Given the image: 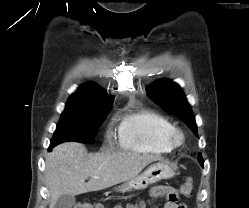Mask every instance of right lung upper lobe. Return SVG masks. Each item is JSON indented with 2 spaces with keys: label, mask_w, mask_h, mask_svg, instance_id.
Masks as SVG:
<instances>
[{
  "label": "right lung upper lobe",
  "mask_w": 249,
  "mask_h": 208,
  "mask_svg": "<svg viewBox=\"0 0 249 208\" xmlns=\"http://www.w3.org/2000/svg\"><path fill=\"white\" fill-rule=\"evenodd\" d=\"M114 98L109 96L95 83H86L72 94L66 103V107H87L108 110L113 104Z\"/></svg>",
  "instance_id": "right-lung-upper-lobe-1"
}]
</instances>
